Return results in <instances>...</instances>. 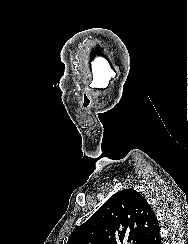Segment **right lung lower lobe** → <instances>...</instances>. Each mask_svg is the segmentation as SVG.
<instances>
[{
	"instance_id": "98d812e1",
	"label": "right lung lower lobe",
	"mask_w": 188,
	"mask_h": 244,
	"mask_svg": "<svg viewBox=\"0 0 188 244\" xmlns=\"http://www.w3.org/2000/svg\"><path fill=\"white\" fill-rule=\"evenodd\" d=\"M146 244H162L159 235V226L153 230Z\"/></svg>"
}]
</instances>
